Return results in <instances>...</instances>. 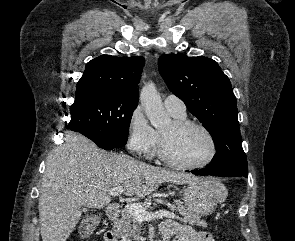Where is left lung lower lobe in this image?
Listing matches in <instances>:
<instances>
[{
    "label": "left lung lower lobe",
    "mask_w": 295,
    "mask_h": 241,
    "mask_svg": "<svg viewBox=\"0 0 295 241\" xmlns=\"http://www.w3.org/2000/svg\"><path fill=\"white\" fill-rule=\"evenodd\" d=\"M191 173L197 174V175H213V176H221V177H231V176L239 177V176H241L240 174L229 173V172H225L223 170L213 169V168H209V167L199 169V170H191Z\"/></svg>",
    "instance_id": "0a47b994"
}]
</instances>
